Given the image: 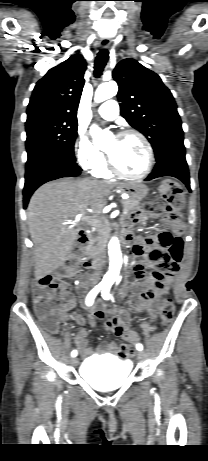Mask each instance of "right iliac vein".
Returning <instances> with one entry per match:
<instances>
[{"mask_svg":"<svg viewBox=\"0 0 208 461\" xmlns=\"http://www.w3.org/2000/svg\"><path fill=\"white\" fill-rule=\"evenodd\" d=\"M70 362H71L72 366H74V367L77 366L78 363H79L78 358H76V357H73V358L70 360Z\"/></svg>","mask_w":208,"mask_h":461,"instance_id":"1","label":"right iliac vein"}]
</instances>
